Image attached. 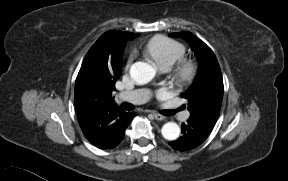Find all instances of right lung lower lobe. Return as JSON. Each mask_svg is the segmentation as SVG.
Instances as JSON below:
<instances>
[{"label":"right lung lower lobe","instance_id":"right-lung-lower-lobe-1","mask_svg":"<svg viewBox=\"0 0 288 181\" xmlns=\"http://www.w3.org/2000/svg\"><path fill=\"white\" fill-rule=\"evenodd\" d=\"M136 115L135 112H128V113H125L124 117H123V120H122V123L121 125L119 126V139H118V142H117V145L122 141L124 135H125V130L126 128L128 127V125L131 123L133 117ZM116 146V145H115ZM114 146V147H115Z\"/></svg>","mask_w":288,"mask_h":181}]
</instances>
